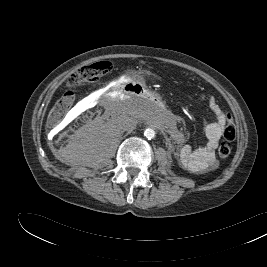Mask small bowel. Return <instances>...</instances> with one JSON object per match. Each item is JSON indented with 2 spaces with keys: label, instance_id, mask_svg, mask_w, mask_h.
Segmentation results:
<instances>
[{
  "label": "small bowel",
  "instance_id": "small-bowel-1",
  "mask_svg": "<svg viewBox=\"0 0 267 267\" xmlns=\"http://www.w3.org/2000/svg\"><path fill=\"white\" fill-rule=\"evenodd\" d=\"M200 99L207 104L215 118L205 129L207 144L198 148L183 146L178 151L179 161L185 168L194 173H202L217 167L215 151L223 136L225 126L230 120L229 115L220 108L214 96L201 95ZM171 122L172 120L170 119ZM173 133L175 137H178V133L175 130H173Z\"/></svg>",
  "mask_w": 267,
  "mask_h": 267
}]
</instances>
